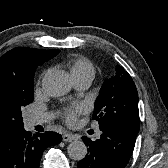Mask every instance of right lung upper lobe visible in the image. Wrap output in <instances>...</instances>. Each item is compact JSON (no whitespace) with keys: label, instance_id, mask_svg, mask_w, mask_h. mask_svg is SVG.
<instances>
[{"label":"right lung upper lobe","instance_id":"right-lung-upper-lobe-1","mask_svg":"<svg viewBox=\"0 0 168 168\" xmlns=\"http://www.w3.org/2000/svg\"><path fill=\"white\" fill-rule=\"evenodd\" d=\"M59 50L17 47L0 58V101L10 98L15 86L34 77L38 65L53 58ZM11 131L0 127V140Z\"/></svg>","mask_w":168,"mask_h":168}]
</instances>
